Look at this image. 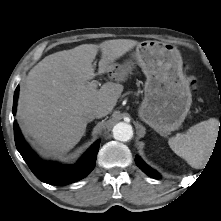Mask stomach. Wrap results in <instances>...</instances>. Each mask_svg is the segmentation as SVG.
Returning a JSON list of instances; mask_svg holds the SVG:
<instances>
[{
	"instance_id": "obj_1",
	"label": "stomach",
	"mask_w": 221,
	"mask_h": 221,
	"mask_svg": "<svg viewBox=\"0 0 221 221\" xmlns=\"http://www.w3.org/2000/svg\"><path fill=\"white\" fill-rule=\"evenodd\" d=\"M134 58L146 76L145 96L138 110L140 119L161 135L178 129L192 104L179 50L170 43L143 41L137 45ZM132 68V62L113 64L110 72L122 81Z\"/></svg>"
}]
</instances>
